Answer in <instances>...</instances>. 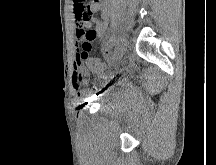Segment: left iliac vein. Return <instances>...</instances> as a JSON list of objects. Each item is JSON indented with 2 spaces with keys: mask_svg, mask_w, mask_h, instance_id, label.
Segmentation results:
<instances>
[{
  "mask_svg": "<svg viewBox=\"0 0 216 165\" xmlns=\"http://www.w3.org/2000/svg\"><path fill=\"white\" fill-rule=\"evenodd\" d=\"M127 47H128V38L127 35L123 33L118 39L116 47L110 58V62L113 64L116 63L123 56V54L127 50Z\"/></svg>",
  "mask_w": 216,
  "mask_h": 165,
  "instance_id": "1",
  "label": "left iliac vein"
}]
</instances>
